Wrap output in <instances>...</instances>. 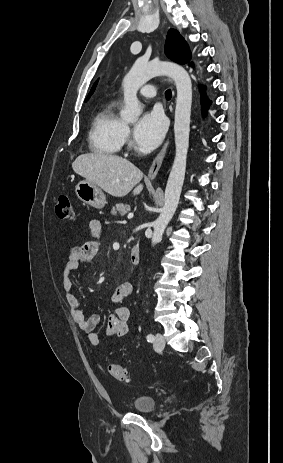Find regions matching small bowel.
Instances as JSON below:
<instances>
[{
	"mask_svg": "<svg viewBox=\"0 0 283 463\" xmlns=\"http://www.w3.org/2000/svg\"><path fill=\"white\" fill-rule=\"evenodd\" d=\"M101 229L102 226L99 220H90L89 231L93 239L85 242L81 246L71 247L68 250L67 259L62 269V285L71 315L75 323L86 333L90 343L94 346L98 345L100 342V336L97 334L96 329L101 323V318L98 314L86 316L83 312L81 302L73 292L72 272L75 271L80 264H90L93 262L99 249L97 238L101 234ZM132 292L133 285L130 282L121 283L113 292L111 301L115 305V309L108 317L104 330V337H123L128 334L130 310L122 305V302L129 297Z\"/></svg>",
	"mask_w": 283,
	"mask_h": 463,
	"instance_id": "obj_1",
	"label": "small bowel"
}]
</instances>
